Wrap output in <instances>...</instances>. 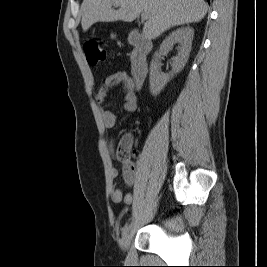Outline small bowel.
<instances>
[{
	"label": "small bowel",
	"instance_id": "obj_1",
	"mask_svg": "<svg viewBox=\"0 0 267 267\" xmlns=\"http://www.w3.org/2000/svg\"><path fill=\"white\" fill-rule=\"evenodd\" d=\"M116 84L122 86L124 92V110L127 112H135L137 110V96L135 93L136 84L134 80L124 71L115 72L107 76L102 85L95 94L97 102L104 103L108 91ZM103 124L106 129H112L117 122V115L111 110H105L102 114ZM108 153L112 159H118L115 153L114 142L111 139L108 143ZM112 178H117L119 172L116 168L110 169ZM123 180L126 185L132 187L136 183V166L132 161L123 162ZM111 199L115 203L124 202L129 205L132 202L130 193L124 194L119 188H114L111 192Z\"/></svg>",
	"mask_w": 267,
	"mask_h": 267
}]
</instances>
